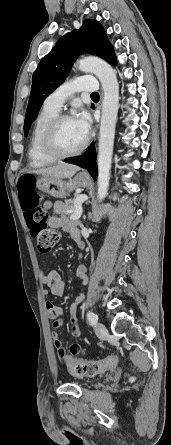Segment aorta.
<instances>
[{
  "label": "aorta",
  "instance_id": "aorta-1",
  "mask_svg": "<svg viewBox=\"0 0 171 445\" xmlns=\"http://www.w3.org/2000/svg\"><path fill=\"white\" fill-rule=\"evenodd\" d=\"M78 68L94 73L102 84L104 97L98 144V188L97 198L103 200L110 181L115 126L119 107V84L115 71L105 61L87 57L78 62Z\"/></svg>",
  "mask_w": 171,
  "mask_h": 445
}]
</instances>
